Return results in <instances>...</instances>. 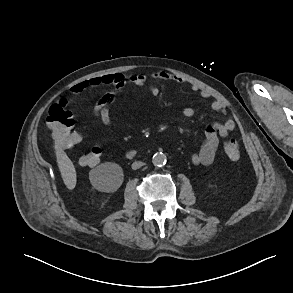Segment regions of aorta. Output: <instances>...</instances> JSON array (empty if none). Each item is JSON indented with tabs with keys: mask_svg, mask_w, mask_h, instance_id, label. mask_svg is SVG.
<instances>
[{
	"mask_svg": "<svg viewBox=\"0 0 293 293\" xmlns=\"http://www.w3.org/2000/svg\"><path fill=\"white\" fill-rule=\"evenodd\" d=\"M154 166L161 167L166 164V156L163 153H155L152 158Z\"/></svg>",
	"mask_w": 293,
	"mask_h": 293,
	"instance_id": "1",
	"label": "aorta"
}]
</instances>
